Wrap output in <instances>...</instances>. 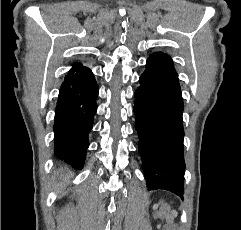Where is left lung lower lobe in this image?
<instances>
[{
	"label": "left lung lower lobe",
	"mask_w": 241,
	"mask_h": 230,
	"mask_svg": "<svg viewBox=\"0 0 241 230\" xmlns=\"http://www.w3.org/2000/svg\"><path fill=\"white\" fill-rule=\"evenodd\" d=\"M135 92L134 113L145 179L149 190L184 192V109L173 61L153 53Z\"/></svg>",
	"instance_id": "0a47b994"
}]
</instances>
